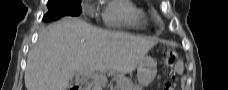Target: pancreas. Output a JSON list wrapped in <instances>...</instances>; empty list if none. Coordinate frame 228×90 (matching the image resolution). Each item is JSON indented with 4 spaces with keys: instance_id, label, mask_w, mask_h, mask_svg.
<instances>
[{
    "instance_id": "cf45deb5",
    "label": "pancreas",
    "mask_w": 228,
    "mask_h": 90,
    "mask_svg": "<svg viewBox=\"0 0 228 90\" xmlns=\"http://www.w3.org/2000/svg\"><path fill=\"white\" fill-rule=\"evenodd\" d=\"M105 82L106 80L104 78H100L94 80L93 84L100 85L101 83L105 84ZM117 90H140V88L138 85L133 84L130 79L124 78L117 83Z\"/></svg>"
}]
</instances>
